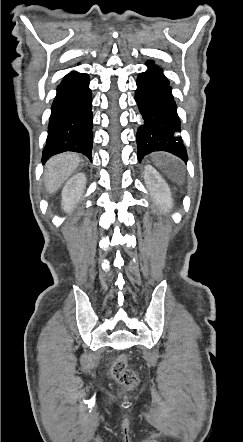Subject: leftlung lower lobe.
<instances>
[{"label":"left lung lower lobe","instance_id":"left-lung-lower-lobe-1","mask_svg":"<svg viewBox=\"0 0 243 442\" xmlns=\"http://www.w3.org/2000/svg\"><path fill=\"white\" fill-rule=\"evenodd\" d=\"M146 65L149 69L138 75L135 91L143 119L136 135L138 160L154 151H166L187 161L186 148L178 136L180 119L169 81L153 61Z\"/></svg>","mask_w":243,"mask_h":442}]
</instances>
